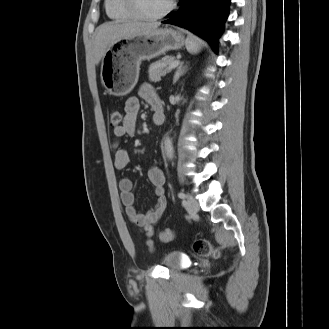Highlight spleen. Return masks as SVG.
I'll return each mask as SVG.
<instances>
[{
	"label": "spleen",
	"instance_id": "spleen-1",
	"mask_svg": "<svg viewBox=\"0 0 329 329\" xmlns=\"http://www.w3.org/2000/svg\"><path fill=\"white\" fill-rule=\"evenodd\" d=\"M185 44L188 52L192 54L198 53L201 49V43L196 37L193 36H188L185 41Z\"/></svg>",
	"mask_w": 329,
	"mask_h": 329
}]
</instances>
